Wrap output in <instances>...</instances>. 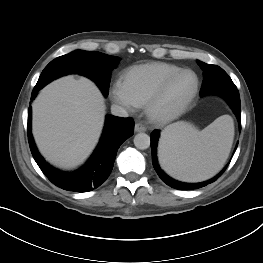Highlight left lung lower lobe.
Listing matches in <instances>:
<instances>
[{
  "instance_id": "1",
  "label": "left lung lower lobe",
  "mask_w": 263,
  "mask_h": 263,
  "mask_svg": "<svg viewBox=\"0 0 263 263\" xmlns=\"http://www.w3.org/2000/svg\"><path fill=\"white\" fill-rule=\"evenodd\" d=\"M200 67L204 71V82H203V89L201 91V95H208V94H217L223 97L230 107L232 108L233 112L235 113L238 121H239V127L241 129V120H240V114H241V104H240V96L239 92L237 90L236 86H214L215 79L218 78V71L220 70V67L216 65L211 64H200ZM160 136V133L158 130H154L151 133L150 139H151V150H152V163L154 166V169L156 170L158 176L170 187L179 189V190H192L197 189L206 186L207 184H210L214 181H216L226 170L227 166L214 178L201 182V183H182L179 181H176L172 178H170L168 175L164 173V171L159 167L157 158H156V150H157V142L158 138ZM237 148V146H236ZM235 148V150H236ZM235 152V151H234Z\"/></svg>"
}]
</instances>
